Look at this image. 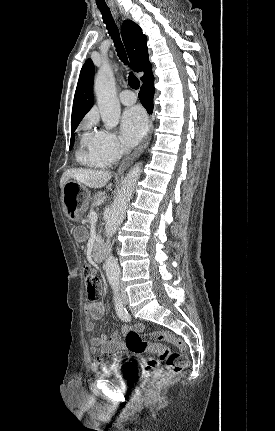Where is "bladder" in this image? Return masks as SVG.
<instances>
[{"label":"bladder","instance_id":"bladder-1","mask_svg":"<svg viewBox=\"0 0 275 431\" xmlns=\"http://www.w3.org/2000/svg\"><path fill=\"white\" fill-rule=\"evenodd\" d=\"M132 366L130 364H126V363H121V364H116L113 366H110L107 370L99 373V376L101 377H115L119 380H121L122 382H127V375L132 370Z\"/></svg>","mask_w":275,"mask_h":431}]
</instances>
